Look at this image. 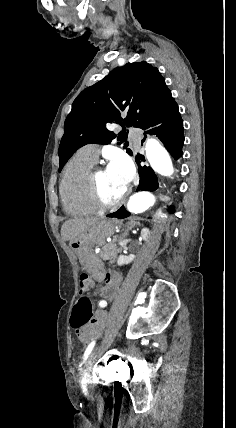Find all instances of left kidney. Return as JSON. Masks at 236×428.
<instances>
[{
	"mask_svg": "<svg viewBox=\"0 0 236 428\" xmlns=\"http://www.w3.org/2000/svg\"><path fill=\"white\" fill-rule=\"evenodd\" d=\"M150 232H146V230H142L141 236L143 240H147V236L149 238ZM135 256L134 254H130V256H119L117 260L118 266H124V264H130V262H133Z\"/></svg>",
	"mask_w": 236,
	"mask_h": 428,
	"instance_id": "1",
	"label": "left kidney"
}]
</instances>
